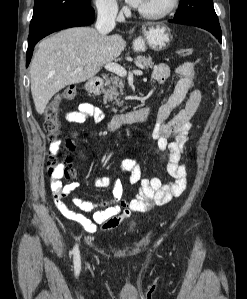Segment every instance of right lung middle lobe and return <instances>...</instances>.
Masks as SVG:
<instances>
[{"label":"right lung middle lobe","instance_id":"dd1d6c3e","mask_svg":"<svg viewBox=\"0 0 247 299\" xmlns=\"http://www.w3.org/2000/svg\"><path fill=\"white\" fill-rule=\"evenodd\" d=\"M90 6L91 0H35L29 30L67 11Z\"/></svg>","mask_w":247,"mask_h":299}]
</instances>
